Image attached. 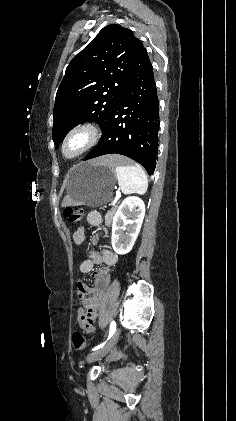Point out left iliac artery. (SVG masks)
<instances>
[{"mask_svg":"<svg viewBox=\"0 0 236 421\" xmlns=\"http://www.w3.org/2000/svg\"><path fill=\"white\" fill-rule=\"evenodd\" d=\"M115 331H116V323H115V321H112L111 324H110L109 336H108L107 340H109L112 337V335L114 334ZM105 343L106 342L98 345L97 347H95L92 350L95 351V350H98V349L102 348L105 345Z\"/></svg>","mask_w":236,"mask_h":421,"instance_id":"obj_1","label":"left iliac artery"}]
</instances>
